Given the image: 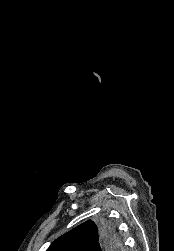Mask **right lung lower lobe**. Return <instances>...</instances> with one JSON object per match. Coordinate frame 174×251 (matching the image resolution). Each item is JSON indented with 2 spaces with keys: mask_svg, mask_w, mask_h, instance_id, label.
<instances>
[{
  "mask_svg": "<svg viewBox=\"0 0 174 251\" xmlns=\"http://www.w3.org/2000/svg\"><path fill=\"white\" fill-rule=\"evenodd\" d=\"M113 244L119 246L115 230L106 223L100 224V241L93 251H115L118 248L112 249Z\"/></svg>",
  "mask_w": 174,
  "mask_h": 251,
  "instance_id": "1",
  "label": "right lung lower lobe"
}]
</instances>
